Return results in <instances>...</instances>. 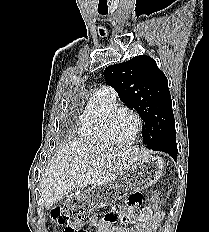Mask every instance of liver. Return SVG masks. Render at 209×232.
<instances>
[{
  "label": "liver",
  "mask_w": 209,
  "mask_h": 232,
  "mask_svg": "<svg viewBox=\"0 0 209 232\" xmlns=\"http://www.w3.org/2000/svg\"><path fill=\"white\" fill-rule=\"evenodd\" d=\"M150 156L136 146H106L70 141L48 162L41 179L47 210L71 191L105 185L132 165Z\"/></svg>",
  "instance_id": "1"
}]
</instances>
